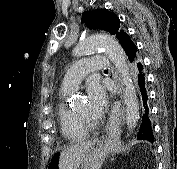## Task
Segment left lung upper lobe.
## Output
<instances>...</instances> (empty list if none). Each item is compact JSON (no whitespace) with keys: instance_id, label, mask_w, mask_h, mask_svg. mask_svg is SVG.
<instances>
[{"instance_id":"1","label":"left lung upper lobe","mask_w":177,"mask_h":169,"mask_svg":"<svg viewBox=\"0 0 177 169\" xmlns=\"http://www.w3.org/2000/svg\"><path fill=\"white\" fill-rule=\"evenodd\" d=\"M83 20L88 22L89 28H100L114 35L124 51L128 44L133 42L130 36L120 26L119 18L107 9H97L94 11L84 12Z\"/></svg>"}]
</instances>
